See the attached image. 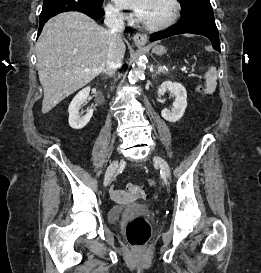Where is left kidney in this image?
<instances>
[{
	"mask_svg": "<svg viewBox=\"0 0 261 273\" xmlns=\"http://www.w3.org/2000/svg\"><path fill=\"white\" fill-rule=\"evenodd\" d=\"M166 91H169L173 95H175L176 99L173 103V108L163 109L161 112V116L169 122H177L179 121L187 107V92L183 85L180 83H172L171 81L163 82L158 88V95L163 96Z\"/></svg>",
	"mask_w": 261,
	"mask_h": 273,
	"instance_id": "5707ae66",
	"label": "left kidney"
}]
</instances>
